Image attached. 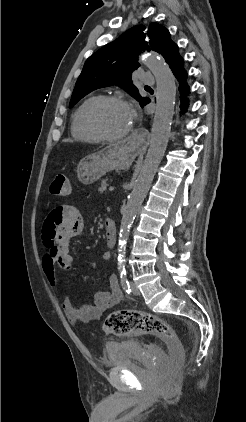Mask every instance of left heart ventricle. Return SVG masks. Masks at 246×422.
<instances>
[{
    "label": "left heart ventricle",
    "mask_w": 246,
    "mask_h": 422,
    "mask_svg": "<svg viewBox=\"0 0 246 422\" xmlns=\"http://www.w3.org/2000/svg\"><path fill=\"white\" fill-rule=\"evenodd\" d=\"M97 121L106 133L116 135L125 131L131 124V110L122 104L108 103L98 110Z\"/></svg>",
    "instance_id": "obj_1"
}]
</instances>
